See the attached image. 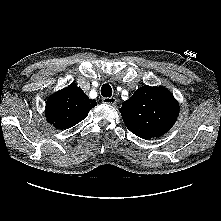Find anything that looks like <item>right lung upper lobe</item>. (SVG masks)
<instances>
[{"label":"right lung upper lobe","instance_id":"right-lung-upper-lobe-1","mask_svg":"<svg viewBox=\"0 0 221 221\" xmlns=\"http://www.w3.org/2000/svg\"><path fill=\"white\" fill-rule=\"evenodd\" d=\"M96 105L80 87L71 84L48 98L45 116L55 128L66 129L85 119Z\"/></svg>","mask_w":221,"mask_h":221}]
</instances>
